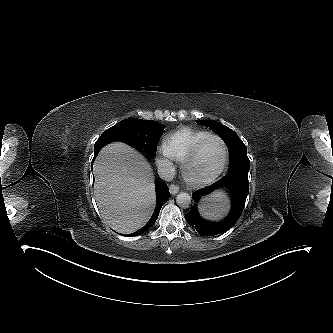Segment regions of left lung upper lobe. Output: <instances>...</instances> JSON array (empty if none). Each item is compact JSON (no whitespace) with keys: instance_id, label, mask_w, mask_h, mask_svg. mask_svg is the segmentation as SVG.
Listing matches in <instances>:
<instances>
[{"instance_id":"5c2ea615","label":"left lung upper lobe","mask_w":333,"mask_h":333,"mask_svg":"<svg viewBox=\"0 0 333 333\" xmlns=\"http://www.w3.org/2000/svg\"><path fill=\"white\" fill-rule=\"evenodd\" d=\"M197 123L212 128L218 133L226 143L230 152V168L228 169L227 177L233 179H248L250 162L247 157V149L238 135L223 124L210 120H197Z\"/></svg>"}]
</instances>
